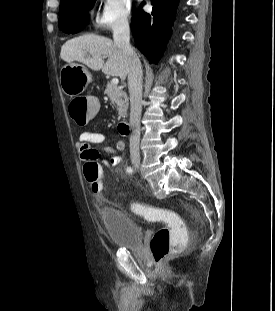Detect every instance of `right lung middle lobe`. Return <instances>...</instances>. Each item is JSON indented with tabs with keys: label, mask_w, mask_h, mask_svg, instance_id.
Masks as SVG:
<instances>
[{
	"label": "right lung middle lobe",
	"mask_w": 275,
	"mask_h": 311,
	"mask_svg": "<svg viewBox=\"0 0 275 311\" xmlns=\"http://www.w3.org/2000/svg\"><path fill=\"white\" fill-rule=\"evenodd\" d=\"M95 0H66L60 4L59 28L66 33H74L88 21V12Z\"/></svg>",
	"instance_id": "1"
}]
</instances>
